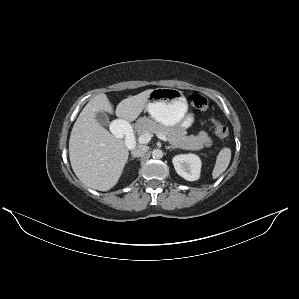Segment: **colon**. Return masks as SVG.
Returning <instances> with one entry per match:
<instances>
[{"label":"colon","mask_w":299,"mask_h":299,"mask_svg":"<svg viewBox=\"0 0 299 299\" xmlns=\"http://www.w3.org/2000/svg\"><path fill=\"white\" fill-rule=\"evenodd\" d=\"M189 101L191 105L200 110V111H205L208 109V101L207 99L200 93H192L189 96ZM214 125H215V131L216 134L220 138H225L229 134V129L226 125L220 123L218 120L213 119Z\"/></svg>","instance_id":"obj_1"}]
</instances>
